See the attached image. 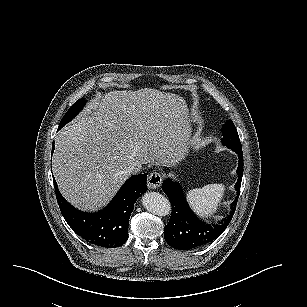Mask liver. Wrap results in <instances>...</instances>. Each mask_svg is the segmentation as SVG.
<instances>
[{"mask_svg":"<svg viewBox=\"0 0 307 307\" xmlns=\"http://www.w3.org/2000/svg\"><path fill=\"white\" fill-rule=\"evenodd\" d=\"M192 121L185 99L154 88L92 98L55 138L51 166L63 198L81 212L107 207L130 166H172L187 152Z\"/></svg>","mask_w":307,"mask_h":307,"instance_id":"liver-1","label":"liver"}]
</instances>
